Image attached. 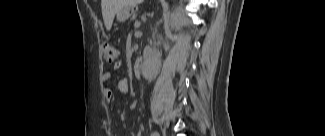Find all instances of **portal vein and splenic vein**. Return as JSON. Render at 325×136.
Returning <instances> with one entry per match:
<instances>
[{"mask_svg":"<svg viewBox=\"0 0 325 136\" xmlns=\"http://www.w3.org/2000/svg\"><path fill=\"white\" fill-rule=\"evenodd\" d=\"M135 26H140V22L139 21H135Z\"/></svg>","mask_w":325,"mask_h":136,"instance_id":"portal-vein-and-splenic-vein-1","label":"portal vein and splenic vein"}]
</instances>
